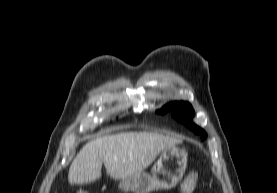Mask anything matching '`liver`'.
Instances as JSON below:
<instances>
[{
	"instance_id": "6515ba94",
	"label": "liver",
	"mask_w": 277,
	"mask_h": 193,
	"mask_svg": "<svg viewBox=\"0 0 277 193\" xmlns=\"http://www.w3.org/2000/svg\"><path fill=\"white\" fill-rule=\"evenodd\" d=\"M182 140L152 132H121L89 141L74 158L68 173L70 184H83L101 177L104 164L114 179L143 172L165 148Z\"/></svg>"
}]
</instances>
